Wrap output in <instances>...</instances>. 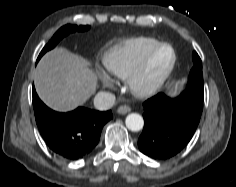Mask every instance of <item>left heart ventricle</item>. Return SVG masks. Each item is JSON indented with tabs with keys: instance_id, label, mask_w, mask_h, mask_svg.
Wrapping results in <instances>:
<instances>
[{
	"instance_id": "obj_1",
	"label": "left heart ventricle",
	"mask_w": 236,
	"mask_h": 187,
	"mask_svg": "<svg viewBox=\"0 0 236 187\" xmlns=\"http://www.w3.org/2000/svg\"><path fill=\"white\" fill-rule=\"evenodd\" d=\"M171 51L169 48L160 49L152 58L145 76V82L152 81L169 63Z\"/></svg>"
}]
</instances>
